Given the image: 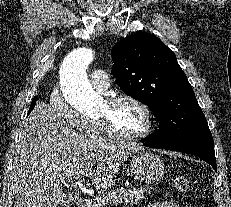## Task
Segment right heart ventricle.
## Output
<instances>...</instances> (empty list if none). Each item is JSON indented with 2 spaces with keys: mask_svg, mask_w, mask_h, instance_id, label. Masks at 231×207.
Here are the masks:
<instances>
[{
  "mask_svg": "<svg viewBox=\"0 0 231 207\" xmlns=\"http://www.w3.org/2000/svg\"><path fill=\"white\" fill-rule=\"evenodd\" d=\"M85 134L90 138H100L104 136L98 120H89L87 122V132Z\"/></svg>",
  "mask_w": 231,
  "mask_h": 207,
  "instance_id": "right-heart-ventricle-1",
  "label": "right heart ventricle"
}]
</instances>
